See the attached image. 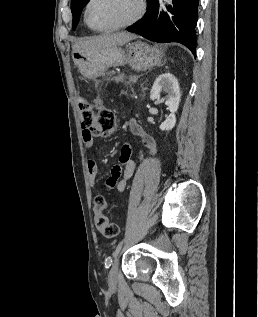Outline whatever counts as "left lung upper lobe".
I'll list each match as a JSON object with an SVG mask.
<instances>
[{"label":"left lung upper lobe","mask_w":258,"mask_h":317,"mask_svg":"<svg viewBox=\"0 0 258 317\" xmlns=\"http://www.w3.org/2000/svg\"><path fill=\"white\" fill-rule=\"evenodd\" d=\"M89 0H71V11L73 15L72 28L75 29L78 22L79 17L82 12L84 6L88 3Z\"/></svg>","instance_id":"obj_1"}]
</instances>
